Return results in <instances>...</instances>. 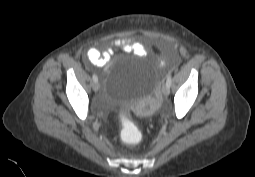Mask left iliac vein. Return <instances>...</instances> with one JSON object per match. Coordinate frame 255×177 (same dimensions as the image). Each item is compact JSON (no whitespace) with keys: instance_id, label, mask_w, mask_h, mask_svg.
<instances>
[{"instance_id":"1","label":"left iliac vein","mask_w":255,"mask_h":177,"mask_svg":"<svg viewBox=\"0 0 255 177\" xmlns=\"http://www.w3.org/2000/svg\"><path fill=\"white\" fill-rule=\"evenodd\" d=\"M162 93L164 96H168L170 93V88L167 85H165L162 89Z\"/></svg>"}]
</instances>
